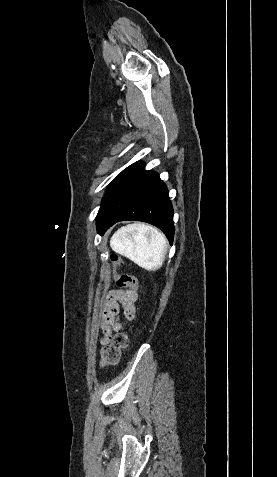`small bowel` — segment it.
Instances as JSON below:
<instances>
[{"instance_id":"1","label":"small bowel","mask_w":277,"mask_h":477,"mask_svg":"<svg viewBox=\"0 0 277 477\" xmlns=\"http://www.w3.org/2000/svg\"><path fill=\"white\" fill-rule=\"evenodd\" d=\"M137 299L138 296L135 295V292L129 291V286H126L124 289H114L108 293L102 307L101 329L104 336L99 341L101 345H107L115 331L124 329L122 322L117 324L114 320V315L120 314L118 305H125L124 315L127 320H131L135 314Z\"/></svg>"}]
</instances>
